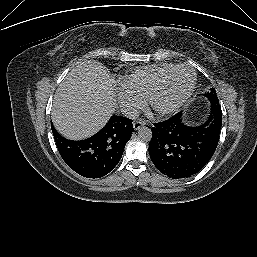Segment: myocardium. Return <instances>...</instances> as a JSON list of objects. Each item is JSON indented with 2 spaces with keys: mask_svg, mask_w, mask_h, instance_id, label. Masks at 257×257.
Returning <instances> with one entry per match:
<instances>
[{
  "mask_svg": "<svg viewBox=\"0 0 257 257\" xmlns=\"http://www.w3.org/2000/svg\"><path fill=\"white\" fill-rule=\"evenodd\" d=\"M180 69H185L191 73L192 80H191L189 87L187 88L185 93L176 101L170 103L167 106H159L157 104V99L160 96L167 79L175 71L180 70ZM196 83H197L196 73L190 66L185 65V64L175 65L174 67L170 68L168 71H166L160 77V79L157 81L154 88L152 89L151 93L149 94L147 100H148V105H149L150 109L153 112H155L156 114L161 115V116L169 115V114L176 112L190 99V97L192 96L194 89L196 87Z\"/></svg>",
  "mask_w": 257,
  "mask_h": 257,
  "instance_id": "f54148a6",
  "label": "myocardium"
}]
</instances>
